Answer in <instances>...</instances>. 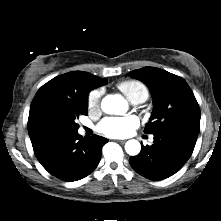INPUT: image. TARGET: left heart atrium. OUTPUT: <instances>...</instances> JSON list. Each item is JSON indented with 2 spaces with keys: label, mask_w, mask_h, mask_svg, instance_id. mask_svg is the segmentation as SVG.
I'll return each instance as SVG.
<instances>
[{
  "label": "left heart atrium",
  "mask_w": 221,
  "mask_h": 221,
  "mask_svg": "<svg viewBox=\"0 0 221 221\" xmlns=\"http://www.w3.org/2000/svg\"><path fill=\"white\" fill-rule=\"evenodd\" d=\"M138 126L139 120L134 115L109 117L101 121L98 130L113 138H124L131 135Z\"/></svg>",
  "instance_id": "1"
}]
</instances>
